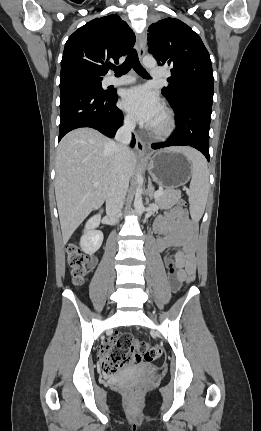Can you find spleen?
<instances>
[{"mask_svg":"<svg viewBox=\"0 0 261 431\" xmlns=\"http://www.w3.org/2000/svg\"><path fill=\"white\" fill-rule=\"evenodd\" d=\"M170 150L182 153L192 164V179L190 183V212L193 216L201 217L204 213L208 191L209 172L205 158L190 147H176Z\"/></svg>","mask_w":261,"mask_h":431,"instance_id":"1","label":"spleen"}]
</instances>
